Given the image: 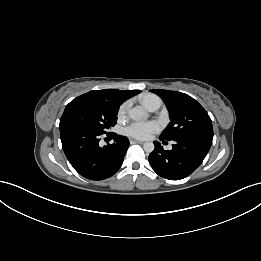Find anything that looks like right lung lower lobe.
I'll return each mask as SVG.
<instances>
[{
    "mask_svg": "<svg viewBox=\"0 0 261 261\" xmlns=\"http://www.w3.org/2000/svg\"><path fill=\"white\" fill-rule=\"evenodd\" d=\"M64 153L73 168L90 180L113 176L121 167L129 140L113 133L114 143L100 147L102 134L82 128H60ZM107 136L109 133L106 134Z\"/></svg>",
    "mask_w": 261,
    "mask_h": 261,
    "instance_id": "right-lung-lower-lobe-1",
    "label": "right lung lower lobe"
}]
</instances>
